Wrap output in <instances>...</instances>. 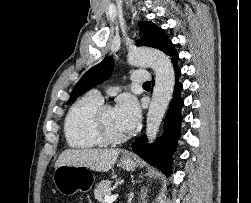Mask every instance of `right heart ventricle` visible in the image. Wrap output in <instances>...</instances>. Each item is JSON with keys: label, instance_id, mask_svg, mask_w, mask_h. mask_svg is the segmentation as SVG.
Masks as SVG:
<instances>
[{"label": "right heart ventricle", "instance_id": "1", "mask_svg": "<svg viewBox=\"0 0 251 203\" xmlns=\"http://www.w3.org/2000/svg\"><path fill=\"white\" fill-rule=\"evenodd\" d=\"M102 99L87 93L69 108L64 121V133L68 145L78 150H88L103 145L93 130L95 110Z\"/></svg>", "mask_w": 251, "mask_h": 203}]
</instances>
